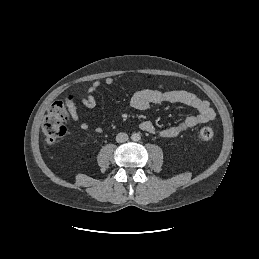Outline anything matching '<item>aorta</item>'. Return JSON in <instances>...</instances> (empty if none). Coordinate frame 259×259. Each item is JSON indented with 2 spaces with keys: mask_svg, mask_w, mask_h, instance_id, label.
Returning a JSON list of instances; mask_svg holds the SVG:
<instances>
[{
  "mask_svg": "<svg viewBox=\"0 0 259 259\" xmlns=\"http://www.w3.org/2000/svg\"><path fill=\"white\" fill-rule=\"evenodd\" d=\"M131 139L133 141H139L141 139V136L138 133H133L132 136H131Z\"/></svg>",
  "mask_w": 259,
  "mask_h": 259,
  "instance_id": "obj_1",
  "label": "aorta"
}]
</instances>
